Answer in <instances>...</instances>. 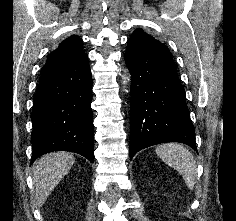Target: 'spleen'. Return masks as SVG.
<instances>
[{"label":"spleen","instance_id":"spleen-1","mask_svg":"<svg viewBox=\"0 0 236 221\" xmlns=\"http://www.w3.org/2000/svg\"><path fill=\"white\" fill-rule=\"evenodd\" d=\"M156 154L182 175L190 189L194 188L197 166L194 156L188 149L177 143H166L157 146Z\"/></svg>","mask_w":236,"mask_h":221}]
</instances>
